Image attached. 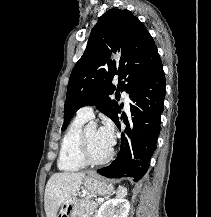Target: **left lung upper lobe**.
I'll use <instances>...</instances> for the list:
<instances>
[{
  "mask_svg": "<svg viewBox=\"0 0 211 217\" xmlns=\"http://www.w3.org/2000/svg\"><path fill=\"white\" fill-rule=\"evenodd\" d=\"M117 50L122 53L119 63L110 59ZM160 65L154 40L139 19L129 10H108L92 29L86 50L70 75L62 130L85 105H96L117 122L122 105L109 95L120 90L130 93ZM114 76H119L117 90L111 83Z\"/></svg>",
  "mask_w": 211,
  "mask_h": 217,
  "instance_id": "obj_1",
  "label": "left lung upper lobe"
}]
</instances>
